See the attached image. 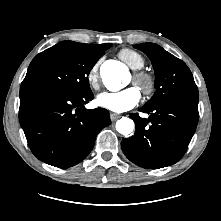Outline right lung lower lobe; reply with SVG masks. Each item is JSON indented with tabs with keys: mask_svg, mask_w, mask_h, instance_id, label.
Returning <instances> with one entry per match:
<instances>
[{
	"mask_svg": "<svg viewBox=\"0 0 221 221\" xmlns=\"http://www.w3.org/2000/svg\"><path fill=\"white\" fill-rule=\"evenodd\" d=\"M92 92L74 95L47 86L21 87L19 121L33 154L60 168L80 163L111 123L104 108L84 107Z\"/></svg>",
	"mask_w": 221,
	"mask_h": 221,
	"instance_id": "98d812e1",
	"label": "right lung lower lobe"
}]
</instances>
